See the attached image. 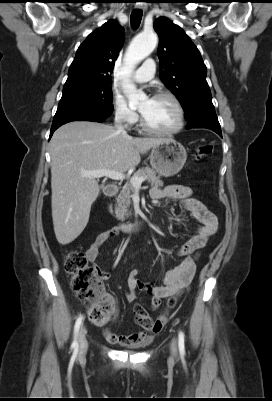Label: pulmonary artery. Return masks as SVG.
Instances as JSON below:
<instances>
[{"mask_svg": "<svg viewBox=\"0 0 272 401\" xmlns=\"http://www.w3.org/2000/svg\"><path fill=\"white\" fill-rule=\"evenodd\" d=\"M155 74V63L152 59H147L141 68H139L133 75L136 82L144 83L151 80Z\"/></svg>", "mask_w": 272, "mask_h": 401, "instance_id": "pulmonary-artery-1", "label": "pulmonary artery"}]
</instances>
